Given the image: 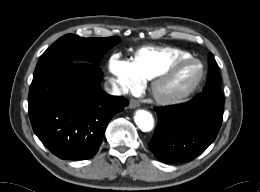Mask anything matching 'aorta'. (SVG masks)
I'll return each instance as SVG.
<instances>
[{
  "mask_svg": "<svg viewBox=\"0 0 260 192\" xmlns=\"http://www.w3.org/2000/svg\"><path fill=\"white\" fill-rule=\"evenodd\" d=\"M134 121L138 128L143 132H149L154 127V119L151 113L146 110H137Z\"/></svg>",
  "mask_w": 260,
  "mask_h": 192,
  "instance_id": "aorta-1",
  "label": "aorta"
}]
</instances>
